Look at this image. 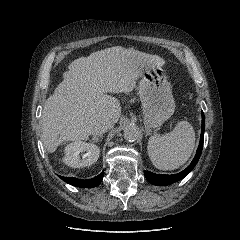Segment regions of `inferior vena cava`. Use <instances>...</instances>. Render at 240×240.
Instances as JSON below:
<instances>
[{
  "instance_id": "inferior-vena-cava-1",
  "label": "inferior vena cava",
  "mask_w": 240,
  "mask_h": 240,
  "mask_svg": "<svg viewBox=\"0 0 240 240\" xmlns=\"http://www.w3.org/2000/svg\"><path fill=\"white\" fill-rule=\"evenodd\" d=\"M109 128H110L109 123L107 121H102L97 124V126L92 132V135L99 136L101 134H104L105 132H107Z\"/></svg>"
}]
</instances>
